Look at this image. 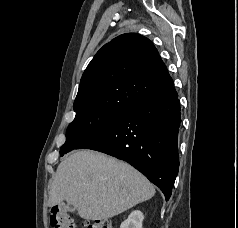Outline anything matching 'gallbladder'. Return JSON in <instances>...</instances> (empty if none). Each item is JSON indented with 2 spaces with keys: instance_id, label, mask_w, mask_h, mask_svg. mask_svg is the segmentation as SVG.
Here are the masks:
<instances>
[{
  "instance_id": "obj_1",
  "label": "gallbladder",
  "mask_w": 238,
  "mask_h": 228,
  "mask_svg": "<svg viewBox=\"0 0 238 228\" xmlns=\"http://www.w3.org/2000/svg\"><path fill=\"white\" fill-rule=\"evenodd\" d=\"M67 210H68L69 212H74V211H75V207H74L73 205H68V206H67Z\"/></svg>"
}]
</instances>
